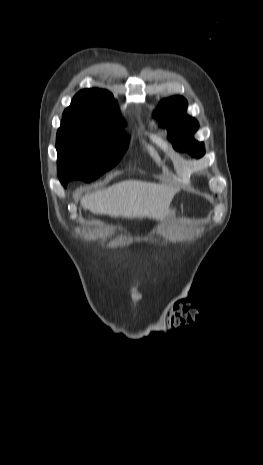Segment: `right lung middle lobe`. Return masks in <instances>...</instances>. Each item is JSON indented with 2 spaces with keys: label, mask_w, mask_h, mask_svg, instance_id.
Returning a JSON list of instances; mask_svg holds the SVG:
<instances>
[{
  "label": "right lung middle lobe",
  "mask_w": 263,
  "mask_h": 465,
  "mask_svg": "<svg viewBox=\"0 0 263 465\" xmlns=\"http://www.w3.org/2000/svg\"><path fill=\"white\" fill-rule=\"evenodd\" d=\"M122 125V122L63 115L56 138L60 181L90 182L112 168L128 146L123 140Z\"/></svg>",
  "instance_id": "right-lung-middle-lobe-1"
}]
</instances>
